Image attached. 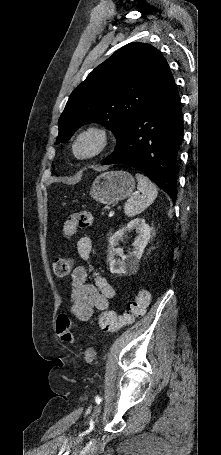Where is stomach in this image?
<instances>
[{"label": "stomach", "mask_w": 221, "mask_h": 455, "mask_svg": "<svg viewBox=\"0 0 221 455\" xmlns=\"http://www.w3.org/2000/svg\"><path fill=\"white\" fill-rule=\"evenodd\" d=\"M135 188V180L126 171H108L93 181L90 196L99 203L113 205L127 198Z\"/></svg>", "instance_id": "stomach-1"}]
</instances>
